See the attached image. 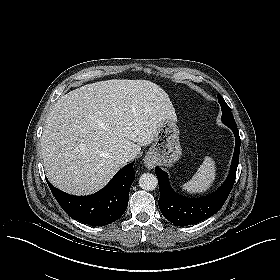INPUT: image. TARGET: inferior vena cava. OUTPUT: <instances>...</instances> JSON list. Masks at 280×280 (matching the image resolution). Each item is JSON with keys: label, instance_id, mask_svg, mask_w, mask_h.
<instances>
[{"label": "inferior vena cava", "instance_id": "1", "mask_svg": "<svg viewBox=\"0 0 280 280\" xmlns=\"http://www.w3.org/2000/svg\"><path fill=\"white\" fill-rule=\"evenodd\" d=\"M135 158V155L131 152H125L123 154V159L126 161V162H129L131 160H133Z\"/></svg>", "mask_w": 280, "mask_h": 280}]
</instances>
